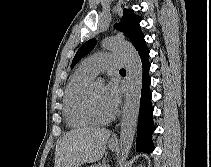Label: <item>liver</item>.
<instances>
[{
    "label": "liver",
    "instance_id": "liver-1",
    "mask_svg": "<svg viewBox=\"0 0 211 167\" xmlns=\"http://www.w3.org/2000/svg\"><path fill=\"white\" fill-rule=\"evenodd\" d=\"M110 131L104 128H78L58 142L54 167H79L99 161L105 152Z\"/></svg>",
    "mask_w": 211,
    "mask_h": 167
}]
</instances>
